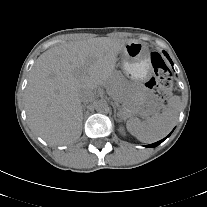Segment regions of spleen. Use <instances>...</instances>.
Returning a JSON list of instances; mask_svg holds the SVG:
<instances>
[{
    "label": "spleen",
    "instance_id": "obj_1",
    "mask_svg": "<svg viewBox=\"0 0 207 207\" xmlns=\"http://www.w3.org/2000/svg\"><path fill=\"white\" fill-rule=\"evenodd\" d=\"M180 112V97L169 99L167 107L162 113L154 114L141 121L131 117L127 123V130L143 143H153L165 137L175 126Z\"/></svg>",
    "mask_w": 207,
    "mask_h": 207
}]
</instances>
